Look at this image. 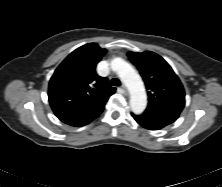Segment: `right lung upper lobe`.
I'll return each mask as SVG.
<instances>
[{
    "mask_svg": "<svg viewBox=\"0 0 222 187\" xmlns=\"http://www.w3.org/2000/svg\"><path fill=\"white\" fill-rule=\"evenodd\" d=\"M105 53L96 43H89L74 50L56 69L48 97L58 118L89 116L104 109L116 90L95 71Z\"/></svg>",
    "mask_w": 222,
    "mask_h": 187,
    "instance_id": "right-lung-upper-lobe-1",
    "label": "right lung upper lobe"
}]
</instances>
